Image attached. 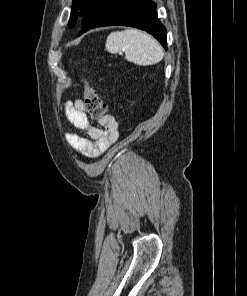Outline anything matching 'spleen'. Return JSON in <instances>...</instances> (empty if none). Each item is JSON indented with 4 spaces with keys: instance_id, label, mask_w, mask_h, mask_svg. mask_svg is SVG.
Wrapping results in <instances>:
<instances>
[{
    "instance_id": "spleen-1",
    "label": "spleen",
    "mask_w": 247,
    "mask_h": 296,
    "mask_svg": "<svg viewBox=\"0 0 247 296\" xmlns=\"http://www.w3.org/2000/svg\"><path fill=\"white\" fill-rule=\"evenodd\" d=\"M105 48L110 53H125V59L137 65L148 66L160 62L164 52L152 36L137 29L112 32Z\"/></svg>"
}]
</instances>
